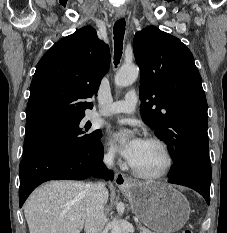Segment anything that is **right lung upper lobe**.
<instances>
[{
  "label": "right lung upper lobe",
  "instance_id": "cb5924a9",
  "mask_svg": "<svg viewBox=\"0 0 227 233\" xmlns=\"http://www.w3.org/2000/svg\"><path fill=\"white\" fill-rule=\"evenodd\" d=\"M110 66L108 46L91 27L56 42L40 59L30 85L26 135L85 116Z\"/></svg>",
  "mask_w": 227,
  "mask_h": 233
}]
</instances>
